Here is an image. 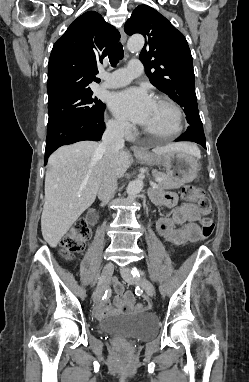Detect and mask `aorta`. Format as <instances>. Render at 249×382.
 <instances>
[{"instance_id":"obj_1","label":"aorta","mask_w":249,"mask_h":382,"mask_svg":"<svg viewBox=\"0 0 249 382\" xmlns=\"http://www.w3.org/2000/svg\"><path fill=\"white\" fill-rule=\"evenodd\" d=\"M143 45L144 38L141 35H134L130 37L127 43L128 50L131 52L140 51L143 48ZM143 186V180L141 178H137L128 184L126 192L128 195H136L142 191Z\"/></svg>"}]
</instances>
